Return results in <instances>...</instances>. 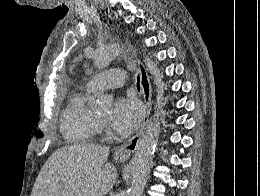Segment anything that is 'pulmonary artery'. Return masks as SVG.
<instances>
[{"mask_svg":"<svg viewBox=\"0 0 260 196\" xmlns=\"http://www.w3.org/2000/svg\"><path fill=\"white\" fill-rule=\"evenodd\" d=\"M125 73L124 69H107V72H101L99 79H93L91 86L96 92L103 90H117V85L109 84H119L123 83V78Z\"/></svg>","mask_w":260,"mask_h":196,"instance_id":"e3ab8cb5","label":"pulmonary artery"}]
</instances>
